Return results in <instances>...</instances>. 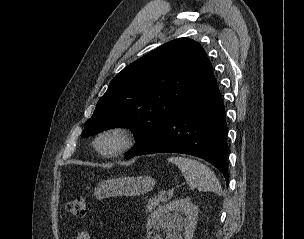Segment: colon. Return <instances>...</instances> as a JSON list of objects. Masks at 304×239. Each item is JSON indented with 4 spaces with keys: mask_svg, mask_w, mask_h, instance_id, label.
Returning a JSON list of instances; mask_svg holds the SVG:
<instances>
[{
    "mask_svg": "<svg viewBox=\"0 0 304 239\" xmlns=\"http://www.w3.org/2000/svg\"><path fill=\"white\" fill-rule=\"evenodd\" d=\"M67 212L77 219H82L86 214V199L83 196L75 197L66 204Z\"/></svg>",
    "mask_w": 304,
    "mask_h": 239,
    "instance_id": "1",
    "label": "colon"
}]
</instances>
